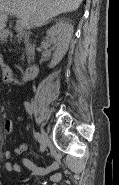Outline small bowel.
Here are the masks:
<instances>
[{
  "label": "small bowel",
  "mask_w": 119,
  "mask_h": 185,
  "mask_svg": "<svg viewBox=\"0 0 119 185\" xmlns=\"http://www.w3.org/2000/svg\"><path fill=\"white\" fill-rule=\"evenodd\" d=\"M1 81L6 84H20V81L14 76L12 68L4 63L1 62ZM21 120V119H20ZM13 130V122L10 119H6L3 123V131L5 134H10ZM28 151V146L26 144H19L15 149L14 152L17 154H23L24 152ZM5 158V169L8 172H20L21 167L18 164H13L11 162V152L5 151L4 152ZM22 166L32 172L33 174L45 176L50 172L58 169L59 164L53 163L51 166H38L33 164L28 158L23 157L21 160ZM62 179L61 173H56L52 177L53 182H59Z\"/></svg>",
  "instance_id": "small-bowel-1"
}]
</instances>
